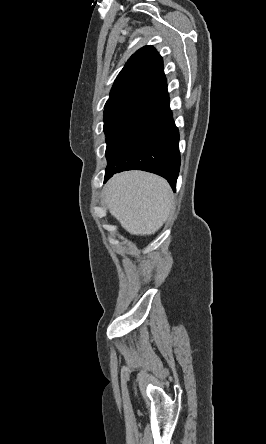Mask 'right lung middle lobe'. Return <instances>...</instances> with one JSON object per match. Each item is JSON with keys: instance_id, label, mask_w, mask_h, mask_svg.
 Instances as JSON below:
<instances>
[{"instance_id": "right-lung-middle-lobe-1", "label": "right lung middle lobe", "mask_w": 266, "mask_h": 444, "mask_svg": "<svg viewBox=\"0 0 266 444\" xmlns=\"http://www.w3.org/2000/svg\"><path fill=\"white\" fill-rule=\"evenodd\" d=\"M166 106L167 103L164 101L145 95L130 96L106 103L104 132L107 160L157 117Z\"/></svg>"}]
</instances>
